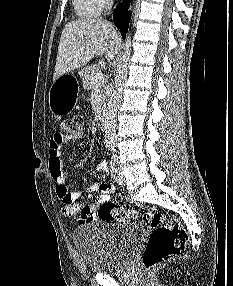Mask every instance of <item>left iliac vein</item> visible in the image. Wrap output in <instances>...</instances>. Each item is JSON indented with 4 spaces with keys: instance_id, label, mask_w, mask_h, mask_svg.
Wrapping results in <instances>:
<instances>
[{
    "instance_id": "left-iliac-vein-1",
    "label": "left iliac vein",
    "mask_w": 233,
    "mask_h": 286,
    "mask_svg": "<svg viewBox=\"0 0 233 286\" xmlns=\"http://www.w3.org/2000/svg\"><path fill=\"white\" fill-rule=\"evenodd\" d=\"M111 173L114 178V180L119 184V185H125V177L118 166V161L116 157L114 156L111 161Z\"/></svg>"
}]
</instances>
